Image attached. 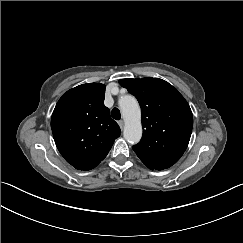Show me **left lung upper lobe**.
Listing matches in <instances>:
<instances>
[{
    "instance_id": "5c2ea615",
    "label": "left lung upper lobe",
    "mask_w": 243,
    "mask_h": 243,
    "mask_svg": "<svg viewBox=\"0 0 243 243\" xmlns=\"http://www.w3.org/2000/svg\"><path fill=\"white\" fill-rule=\"evenodd\" d=\"M141 107L143 136L132 148L150 169L163 170L175 164L186 150L193 115L184 97L159 78L121 79Z\"/></svg>"
}]
</instances>
